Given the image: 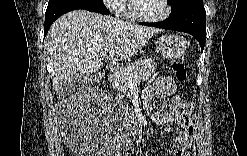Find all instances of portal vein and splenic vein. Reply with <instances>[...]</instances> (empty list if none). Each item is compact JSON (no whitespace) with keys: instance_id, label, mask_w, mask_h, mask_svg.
Here are the masks:
<instances>
[{"instance_id":"1","label":"portal vein and splenic vein","mask_w":247,"mask_h":156,"mask_svg":"<svg viewBox=\"0 0 247 156\" xmlns=\"http://www.w3.org/2000/svg\"><path fill=\"white\" fill-rule=\"evenodd\" d=\"M116 71H119L120 69L117 68L115 69ZM123 72L129 76L130 80L131 81H134L138 78V75L137 74H133L129 69H123Z\"/></svg>"}]
</instances>
